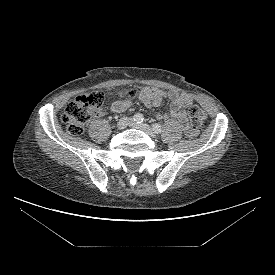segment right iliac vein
<instances>
[{
	"instance_id": "63e3f726",
	"label": "right iliac vein",
	"mask_w": 275,
	"mask_h": 275,
	"mask_svg": "<svg viewBox=\"0 0 275 275\" xmlns=\"http://www.w3.org/2000/svg\"><path fill=\"white\" fill-rule=\"evenodd\" d=\"M133 121L128 117L121 118L117 123V128L119 130L125 129L128 125H130Z\"/></svg>"
}]
</instances>
